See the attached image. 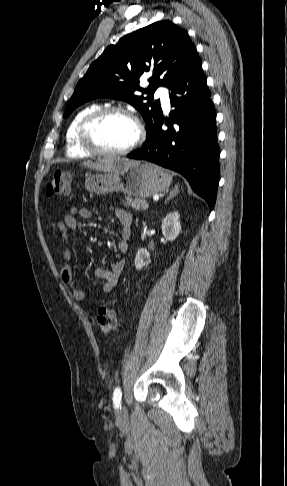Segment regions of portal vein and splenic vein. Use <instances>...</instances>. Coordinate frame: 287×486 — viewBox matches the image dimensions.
<instances>
[{
  "instance_id": "portal-vein-and-splenic-vein-1",
  "label": "portal vein and splenic vein",
  "mask_w": 287,
  "mask_h": 486,
  "mask_svg": "<svg viewBox=\"0 0 287 486\" xmlns=\"http://www.w3.org/2000/svg\"><path fill=\"white\" fill-rule=\"evenodd\" d=\"M148 208H149L148 203H145V204L143 205V209H144V210H147Z\"/></svg>"
}]
</instances>
